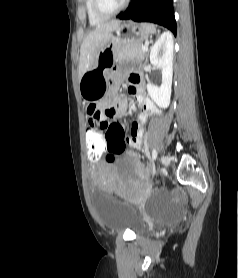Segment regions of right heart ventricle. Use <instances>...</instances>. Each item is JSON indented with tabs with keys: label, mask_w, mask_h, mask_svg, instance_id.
Wrapping results in <instances>:
<instances>
[{
	"label": "right heart ventricle",
	"mask_w": 238,
	"mask_h": 278,
	"mask_svg": "<svg viewBox=\"0 0 238 278\" xmlns=\"http://www.w3.org/2000/svg\"><path fill=\"white\" fill-rule=\"evenodd\" d=\"M85 7L90 24L97 25L104 20V18H101L94 13L92 7V0H85Z\"/></svg>",
	"instance_id": "right-heart-ventricle-1"
}]
</instances>
